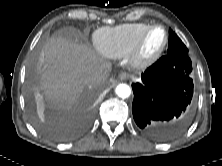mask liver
<instances>
[{"mask_svg": "<svg viewBox=\"0 0 222 166\" xmlns=\"http://www.w3.org/2000/svg\"><path fill=\"white\" fill-rule=\"evenodd\" d=\"M110 67L88 45L62 37L51 38L45 45L42 65V85L48 104L60 110L71 109L85 85L94 88L105 82ZM92 71L105 73L102 82L87 83Z\"/></svg>", "mask_w": 222, "mask_h": 166, "instance_id": "obj_1", "label": "liver"}]
</instances>
